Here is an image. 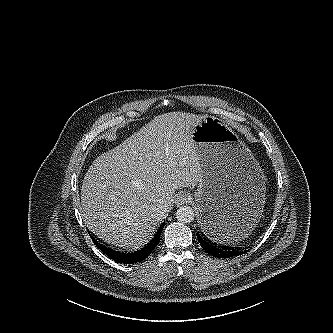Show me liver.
<instances>
[{
  "instance_id": "obj_1",
  "label": "liver",
  "mask_w": 333,
  "mask_h": 333,
  "mask_svg": "<svg viewBox=\"0 0 333 333\" xmlns=\"http://www.w3.org/2000/svg\"><path fill=\"white\" fill-rule=\"evenodd\" d=\"M200 120L185 112L164 113L97 157L81 188L80 211L89 231L120 248L145 244L172 209L175 191L200 182L192 140Z\"/></svg>"
}]
</instances>
